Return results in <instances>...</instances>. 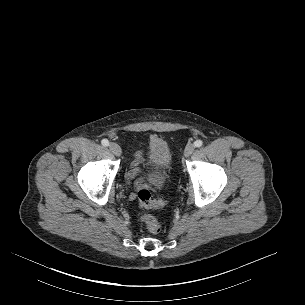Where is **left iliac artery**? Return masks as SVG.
I'll return each mask as SVG.
<instances>
[{
    "instance_id": "obj_1",
    "label": "left iliac artery",
    "mask_w": 305,
    "mask_h": 305,
    "mask_svg": "<svg viewBox=\"0 0 305 305\" xmlns=\"http://www.w3.org/2000/svg\"><path fill=\"white\" fill-rule=\"evenodd\" d=\"M194 145H195V147H201L203 145V142H202V140H196L194 142Z\"/></svg>"
}]
</instances>
